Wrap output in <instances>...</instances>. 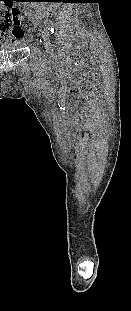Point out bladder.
I'll use <instances>...</instances> for the list:
<instances>
[{"instance_id":"obj_1","label":"bladder","mask_w":131,"mask_h":311,"mask_svg":"<svg viewBox=\"0 0 131 311\" xmlns=\"http://www.w3.org/2000/svg\"><path fill=\"white\" fill-rule=\"evenodd\" d=\"M24 44L25 43L23 42L0 44V51L17 50V49H20Z\"/></svg>"}]
</instances>
